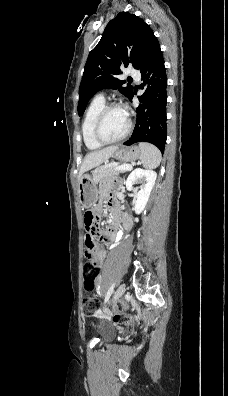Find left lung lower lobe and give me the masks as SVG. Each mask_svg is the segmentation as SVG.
<instances>
[{
  "label": "left lung lower lobe",
  "mask_w": 228,
  "mask_h": 396,
  "mask_svg": "<svg viewBox=\"0 0 228 396\" xmlns=\"http://www.w3.org/2000/svg\"><path fill=\"white\" fill-rule=\"evenodd\" d=\"M140 72L143 80L141 86L145 87V92L139 96L140 103L136 108L137 119L133 134L124 145L149 142L163 153L167 136V77L157 38L152 43ZM133 95L134 93L130 96V100Z\"/></svg>",
  "instance_id": "left-lung-lower-lobe-1"
}]
</instances>
